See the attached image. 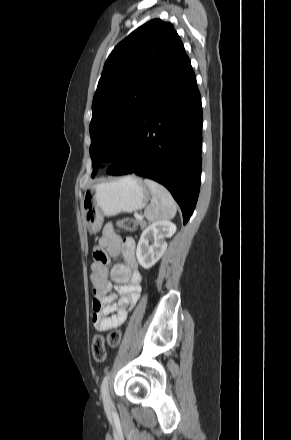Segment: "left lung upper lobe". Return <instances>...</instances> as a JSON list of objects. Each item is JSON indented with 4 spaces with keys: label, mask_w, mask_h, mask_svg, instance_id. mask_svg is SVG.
<instances>
[{
    "label": "left lung upper lobe",
    "mask_w": 291,
    "mask_h": 440,
    "mask_svg": "<svg viewBox=\"0 0 291 440\" xmlns=\"http://www.w3.org/2000/svg\"><path fill=\"white\" fill-rule=\"evenodd\" d=\"M185 55L173 25L160 19L142 25L114 48L92 103V177L100 160L121 153L150 100Z\"/></svg>",
    "instance_id": "left-lung-upper-lobe-1"
}]
</instances>
